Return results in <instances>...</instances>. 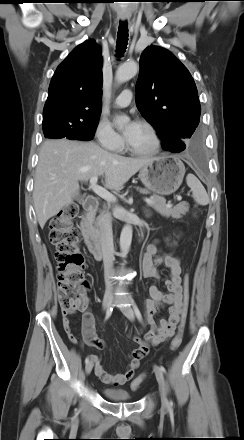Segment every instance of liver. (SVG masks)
I'll return each mask as SVG.
<instances>
[{"instance_id":"1","label":"liver","mask_w":244,"mask_h":440,"mask_svg":"<svg viewBox=\"0 0 244 440\" xmlns=\"http://www.w3.org/2000/svg\"><path fill=\"white\" fill-rule=\"evenodd\" d=\"M154 159L123 157L94 142L45 141L39 152L33 190L40 227L73 202L79 191V181L105 174V187L121 190L133 175Z\"/></svg>"}]
</instances>
